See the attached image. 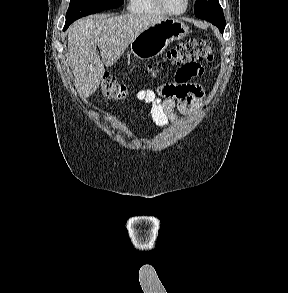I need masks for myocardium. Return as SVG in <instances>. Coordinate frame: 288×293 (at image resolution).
<instances>
[{"label": "myocardium", "instance_id": "1", "mask_svg": "<svg viewBox=\"0 0 288 293\" xmlns=\"http://www.w3.org/2000/svg\"><path fill=\"white\" fill-rule=\"evenodd\" d=\"M156 3L158 4V6L167 14L169 15H173V16H180L182 14H184L188 7H189V0H185V6L181 11L175 12L170 10L167 5L165 4L164 0H155Z\"/></svg>", "mask_w": 288, "mask_h": 293}]
</instances>
